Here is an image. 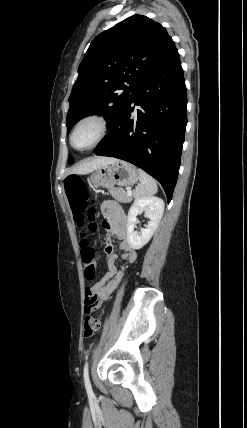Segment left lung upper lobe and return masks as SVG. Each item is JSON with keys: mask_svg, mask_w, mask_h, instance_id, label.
I'll use <instances>...</instances> for the list:
<instances>
[{"mask_svg": "<svg viewBox=\"0 0 247 428\" xmlns=\"http://www.w3.org/2000/svg\"><path fill=\"white\" fill-rule=\"evenodd\" d=\"M175 49L166 29L143 15H133L95 37L69 97L67 133L93 113L105 115L111 126L139 84Z\"/></svg>", "mask_w": 247, "mask_h": 428, "instance_id": "left-lung-upper-lobe-1", "label": "left lung upper lobe"}]
</instances>
